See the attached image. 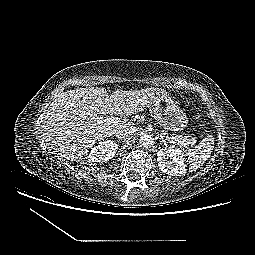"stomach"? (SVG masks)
I'll list each match as a JSON object with an SVG mask.
<instances>
[{"label": "stomach", "instance_id": "stomach-1", "mask_svg": "<svg viewBox=\"0 0 255 255\" xmlns=\"http://www.w3.org/2000/svg\"><path fill=\"white\" fill-rule=\"evenodd\" d=\"M152 110L156 120L167 130L180 132L187 127V115L167 93L152 103Z\"/></svg>", "mask_w": 255, "mask_h": 255}]
</instances>
